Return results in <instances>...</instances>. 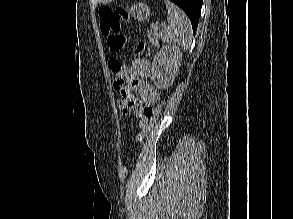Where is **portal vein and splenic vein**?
<instances>
[{"label":"portal vein and splenic vein","mask_w":293,"mask_h":219,"mask_svg":"<svg viewBox=\"0 0 293 219\" xmlns=\"http://www.w3.org/2000/svg\"><path fill=\"white\" fill-rule=\"evenodd\" d=\"M160 26L165 27V23H163L161 25L158 24V23L152 24L151 29L154 30V31H157L160 28Z\"/></svg>","instance_id":"1"}]
</instances>
